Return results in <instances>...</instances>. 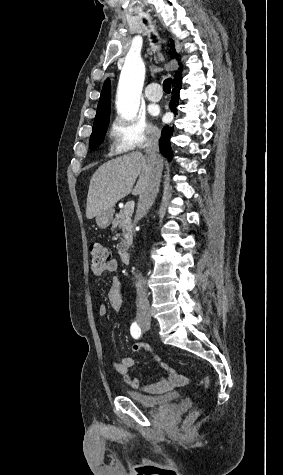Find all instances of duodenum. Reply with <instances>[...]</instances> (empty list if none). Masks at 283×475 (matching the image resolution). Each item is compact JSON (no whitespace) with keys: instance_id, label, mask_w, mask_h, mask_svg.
<instances>
[{"instance_id":"410a0bca","label":"duodenum","mask_w":283,"mask_h":475,"mask_svg":"<svg viewBox=\"0 0 283 475\" xmlns=\"http://www.w3.org/2000/svg\"><path fill=\"white\" fill-rule=\"evenodd\" d=\"M121 261H122L123 263H125V264H126V263H129V261H130V253H129V252H126V251H123V252L121 253Z\"/></svg>"}]
</instances>
